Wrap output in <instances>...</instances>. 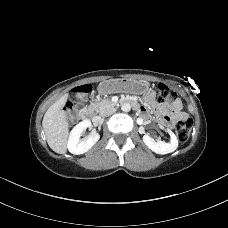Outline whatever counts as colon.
I'll return each mask as SVG.
<instances>
[{
	"mask_svg": "<svg viewBox=\"0 0 228 228\" xmlns=\"http://www.w3.org/2000/svg\"><path fill=\"white\" fill-rule=\"evenodd\" d=\"M91 92V86L89 84H84L76 87L73 90L74 99L70 100L65 109L70 114L74 115L88 100L89 93ZM177 99V94L168 88L164 84H159L157 87V100L159 103H170ZM192 128V121L190 119L181 120L176 125V131L178 138L181 142L188 140Z\"/></svg>",
	"mask_w": 228,
	"mask_h": 228,
	"instance_id": "5ec220e1",
	"label": "colon"
}]
</instances>
